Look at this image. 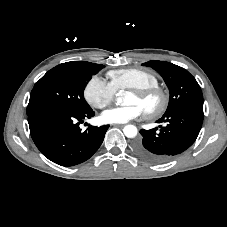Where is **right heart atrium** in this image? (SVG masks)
<instances>
[{"label": "right heart atrium", "mask_w": 227, "mask_h": 227, "mask_svg": "<svg viewBox=\"0 0 227 227\" xmlns=\"http://www.w3.org/2000/svg\"><path fill=\"white\" fill-rule=\"evenodd\" d=\"M83 94L85 100L92 107L103 109L113 101L115 91L109 83L98 76H94L85 85Z\"/></svg>", "instance_id": "d8ad5b80"}]
</instances>
